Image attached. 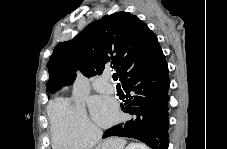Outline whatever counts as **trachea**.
<instances>
[{"label": "trachea", "mask_w": 227, "mask_h": 149, "mask_svg": "<svg viewBox=\"0 0 227 149\" xmlns=\"http://www.w3.org/2000/svg\"><path fill=\"white\" fill-rule=\"evenodd\" d=\"M112 78H113L114 81H117V80H118V74H116V73L113 74V75H112Z\"/></svg>", "instance_id": "3493384b"}]
</instances>
